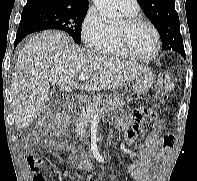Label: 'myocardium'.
I'll list each match as a JSON object with an SVG mask.
<instances>
[{
	"mask_svg": "<svg viewBox=\"0 0 197 181\" xmlns=\"http://www.w3.org/2000/svg\"><path fill=\"white\" fill-rule=\"evenodd\" d=\"M147 25L152 32L154 33L155 39H156V45H155V49L154 51L147 56H141L138 55L136 53H134L128 44V32L138 26V25ZM115 38H116V42L118 45V48L120 49V51L128 58L134 59V60H138V61H151L153 59H155L160 50H161V38H160V34L158 29L156 28V26L150 22L149 20L142 18V17H138V16H129L125 19L124 21V28L121 30L116 29L115 30Z\"/></svg>",
	"mask_w": 197,
	"mask_h": 181,
	"instance_id": "myocardium-1",
	"label": "myocardium"
}]
</instances>
